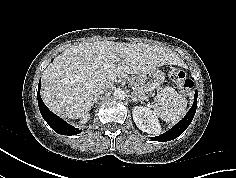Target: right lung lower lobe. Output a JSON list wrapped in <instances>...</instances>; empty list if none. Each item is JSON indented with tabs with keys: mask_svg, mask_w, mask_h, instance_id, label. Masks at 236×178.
Segmentation results:
<instances>
[{
	"mask_svg": "<svg viewBox=\"0 0 236 178\" xmlns=\"http://www.w3.org/2000/svg\"><path fill=\"white\" fill-rule=\"evenodd\" d=\"M40 88H41V81L39 82L38 93H37L38 105H39L41 115L44 118V120L48 123V125L52 129H54L58 134L75 135V134L80 133L81 130L69 125L62 118L56 116L46 107V105L43 103L40 97Z\"/></svg>",
	"mask_w": 236,
	"mask_h": 178,
	"instance_id": "obj_1",
	"label": "right lung lower lobe"
}]
</instances>
